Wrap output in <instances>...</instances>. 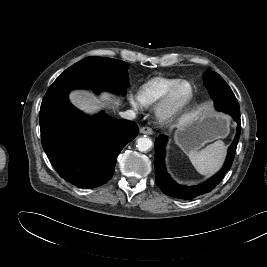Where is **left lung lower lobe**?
Listing matches in <instances>:
<instances>
[{"label":"left lung lower lobe","instance_id":"left-lung-lower-lobe-1","mask_svg":"<svg viewBox=\"0 0 267 267\" xmlns=\"http://www.w3.org/2000/svg\"><path fill=\"white\" fill-rule=\"evenodd\" d=\"M216 108L218 111H223L232 116L238 124L235 139L228 149V155L223 168L201 185L187 187L177 184L165 169L164 156L167 137L165 135H160L156 138L154 145V166L156 172V183L164 194L180 199H193L196 196L211 191L222 180L227 170L231 167L241 131L240 108L237 99H230L228 103H226V106L219 105Z\"/></svg>","mask_w":267,"mask_h":267}]
</instances>
